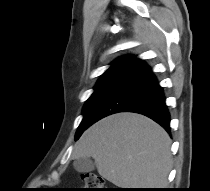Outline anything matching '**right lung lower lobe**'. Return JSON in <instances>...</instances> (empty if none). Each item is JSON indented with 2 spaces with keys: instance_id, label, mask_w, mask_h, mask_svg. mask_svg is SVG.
Instances as JSON below:
<instances>
[{
  "instance_id": "right-lung-lower-lobe-1",
  "label": "right lung lower lobe",
  "mask_w": 210,
  "mask_h": 191,
  "mask_svg": "<svg viewBox=\"0 0 210 191\" xmlns=\"http://www.w3.org/2000/svg\"><path fill=\"white\" fill-rule=\"evenodd\" d=\"M118 112L143 114L170 132V113L165 103L163 88L143 60L135 57L130 59L122 75L98 108L95 122Z\"/></svg>"
}]
</instances>
